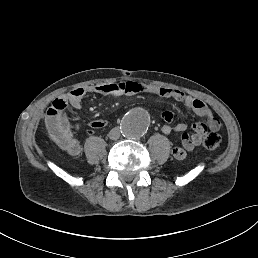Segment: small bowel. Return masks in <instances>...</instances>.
Returning <instances> with one entry per match:
<instances>
[{
	"instance_id": "obj_1",
	"label": "small bowel",
	"mask_w": 258,
	"mask_h": 258,
	"mask_svg": "<svg viewBox=\"0 0 258 258\" xmlns=\"http://www.w3.org/2000/svg\"><path fill=\"white\" fill-rule=\"evenodd\" d=\"M89 93L110 95L114 97L149 93L179 101L183 103L188 111L204 118V121L196 122L193 125L192 133H188V126L186 123L180 122L175 125L171 124L174 119L172 112L164 111L161 114V117L165 122L162 126V132L166 135L174 132L180 134L181 146H177L172 150L173 156L177 160H183L188 152L193 151L195 147L199 146L208 129L218 130L220 128L219 120L214 117L209 107L202 100L194 98L180 90L132 81L99 84L85 88L80 87L73 89L66 95L56 98L48 108L45 117L46 128L51 140L60 149L72 156H77L81 152V146L74 136L65 109L68 106L74 109H80L82 107L83 98ZM88 124L92 129L96 130L106 127L108 121L105 119H92Z\"/></svg>"
}]
</instances>
